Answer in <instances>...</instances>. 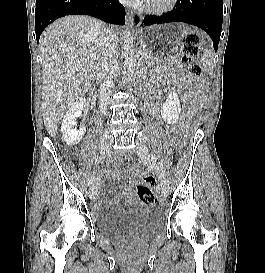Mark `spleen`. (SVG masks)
Here are the masks:
<instances>
[{
    "label": "spleen",
    "mask_w": 265,
    "mask_h": 273,
    "mask_svg": "<svg viewBox=\"0 0 265 273\" xmlns=\"http://www.w3.org/2000/svg\"><path fill=\"white\" fill-rule=\"evenodd\" d=\"M212 59H213V55L211 51H208V50L204 51L201 61L204 66V71L208 75L211 74L213 70Z\"/></svg>",
    "instance_id": "3e777b00"
}]
</instances>
